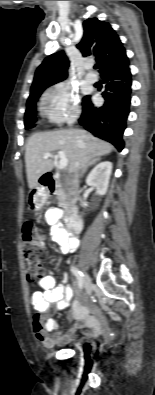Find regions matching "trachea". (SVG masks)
I'll return each mask as SVG.
<instances>
[{
	"mask_svg": "<svg viewBox=\"0 0 155 395\" xmlns=\"http://www.w3.org/2000/svg\"><path fill=\"white\" fill-rule=\"evenodd\" d=\"M94 68L97 69V68H98V65L96 64V65L94 66Z\"/></svg>",
	"mask_w": 155,
	"mask_h": 395,
	"instance_id": "1",
	"label": "trachea"
}]
</instances>
